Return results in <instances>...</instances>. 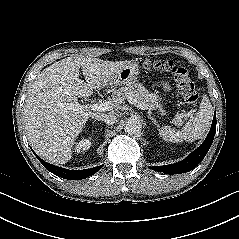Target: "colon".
Here are the masks:
<instances>
[{"label": "colon", "mask_w": 239, "mask_h": 239, "mask_svg": "<svg viewBox=\"0 0 239 239\" xmlns=\"http://www.w3.org/2000/svg\"><path fill=\"white\" fill-rule=\"evenodd\" d=\"M144 68L147 70L170 73L176 82L179 94L185 102L191 106L197 105L199 98L198 90L186 68L168 60L146 62Z\"/></svg>", "instance_id": "5ec220e1"}]
</instances>
